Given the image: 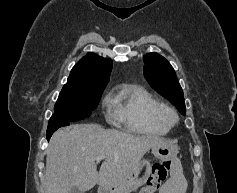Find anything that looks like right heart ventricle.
Segmentation results:
<instances>
[{"label":"right heart ventricle","instance_id":"obj_1","mask_svg":"<svg viewBox=\"0 0 237 193\" xmlns=\"http://www.w3.org/2000/svg\"><path fill=\"white\" fill-rule=\"evenodd\" d=\"M111 119L122 124L131 133L165 135L169 131L159 118L165 106L148 90L138 85H123L109 99Z\"/></svg>","mask_w":237,"mask_h":193}]
</instances>
